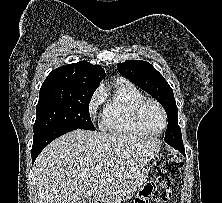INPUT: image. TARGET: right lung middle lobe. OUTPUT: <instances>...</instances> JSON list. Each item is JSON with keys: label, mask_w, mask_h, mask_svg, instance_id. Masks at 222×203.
<instances>
[{"label": "right lung middle lobe", "mask_w": 222, "mask_h": 203, "mask_svg": "<svg viewBox=\"0 0 222 203\" xmlns=\"http://www.w3.org/2000/svg\"><path fill=\"white\" fill-rule=\"evenodd\" d=\"M96 89L54 87L40 90L34 133L56 126L95 130L89 102Z\"/></svg>", "instance_id": "1"}]
</instances>
